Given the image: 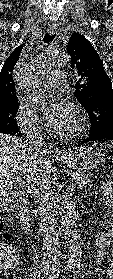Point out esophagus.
I'll return each instance as SVG.
<instances>
[{
  "label": "esophagus",
  "mask_w": 113,
  "mask_h": 279,
  "mask_svg": "<svg viewBox=\"0 0 113 279\" xmlns=\"http://www.w3.org/2000/svg\"><path fill=\"white\" fill-rule=\"evenodd\" d=\"M56 31H57V25L56 24H52L48 27V32L50 34H54ZM57 153H58V155L64 156V155L68 154V151L64 149V150L57 151Z\"/></svg>",
  "instance_id": "34e87169"
}]
</instances>
